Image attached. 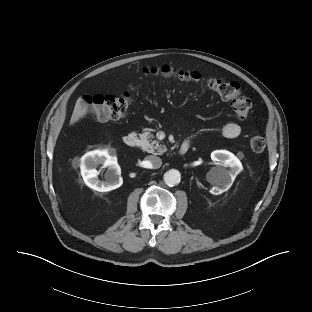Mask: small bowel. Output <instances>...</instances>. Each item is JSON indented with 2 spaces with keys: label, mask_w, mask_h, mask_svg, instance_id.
<instances>
[{
  "label": "small bowel",
  "mask_w": 312,
  "mask_h": 312,
  "mask_svg": "<svg viewBox=\"0 0 312 312\" xmlns=\"http://www.w3.org/2000/svg\"><path fill=\"white\" fill-rule=\"evenodd\" d=\"M222 134L229 139L237 138L241 134V127L236 122L229 121L223 125Z\"/></svg>",
  "instance_id": "small-bowel-1"
}]
</instances>
